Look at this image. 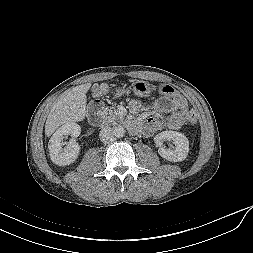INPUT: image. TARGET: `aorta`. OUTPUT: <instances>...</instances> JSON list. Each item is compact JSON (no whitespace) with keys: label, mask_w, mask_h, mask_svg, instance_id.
<instances>
[{"label":"aorta","mask_w":253,"mask_h":253,"mask_svg":"<svg viewBox=\"0 0 253 253\" xmlns=\"http://www.w3.org/2000/svg\"><path fill=\"white\" fill-rule=\"evenodd\" d=\"M113 131H114V136L115 137L120 138V137H123L125 135V129L121 125L116 126Z\"/></svg>","instance_id":"1"}]
</instances>
